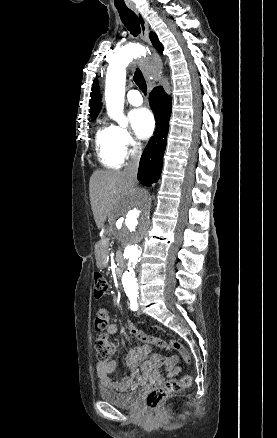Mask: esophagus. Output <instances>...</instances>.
I'll return each mask as SVG.
<instances>
[{
  "instance_id": "1",
  "label": "esophagus",
  "mask_w": 277,
  "mask_h": 438,
  "mask_svg": "<svg viewBox=\"0 0 277 438\" xmlns=\"http://www.w3.org/2000/svg\"><path fill=\"white\" fill-rule=\"evenodd\" d=\"M138 17L140 29H141V40L147 44H150L149 39V26L147 20L143 16V14L136 7H129ZM152 51V49H151ZM157 55V54H155Z\"/></svg>"
}]
</instances>
